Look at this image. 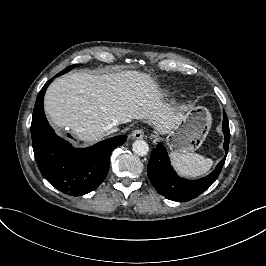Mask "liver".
Here are the masks:
<instances>
[{
    "label": "liver",
    "instance_id": "6515ba94",
    "mask_svg": "<svg viewBox=\"0 0 266 266\" xmlns=\"http://www.w3.org/2000/svg\"><path fill=\"white\" fill-rule=\"evenodd\" d=\"M44 109L51 122L91 143L133 119L145 120L167 134L185 118L181 108L163 102L150 74L120 68L100 75L76 72L57 78L46 91Z\"/></svg>",
    "mask_w": 266,
    "mask_h": 266
}]
</instances>
